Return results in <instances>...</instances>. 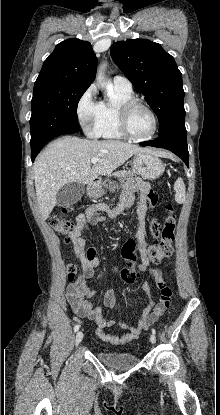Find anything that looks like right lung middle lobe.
I'll return each mask as SVG.
<instances>
[{
  "label": "right lung middle lobe",
  "mask_w": 220,
  "mask_h": 415,
  "mask_svg": "<svg viewBox=\"0 0 220 415\" xmlns=\"http://www.w3.org/2000/svg\"><path fill=\"white\" fill-rule=\"evenodd\" d=\"M88 86L38 83L31 101V150L42 148L56 136L78 132L77 106Z\"/></svg>",
  "instance_id": "obj_1"
}]
</instances>
